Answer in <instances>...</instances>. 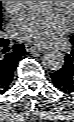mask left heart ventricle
Here are the masks:
<instances>
[{"instance_id": "b2bd125f", "label": "left heart ventricle", "mask_w": 74, "mask_h": 122, "mask_svg": "<svg viewBox=\"0 0 74 122\" xmlns=\"http://www.w3.org/2000/svg\"><path fill=\"white\" fill-rule=\"evenodd\" d=\"M57 4V1H51L50 5L52 4ZM59 8L62 10L63 14L69 18L70 17V12H69V4L67 2H63L59 5Z\"/></svg>"}]
</instances>
